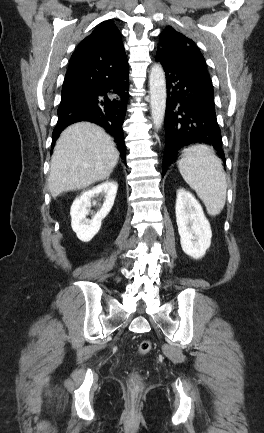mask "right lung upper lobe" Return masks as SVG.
I'll return each mask as SVG.
<instances>
[{
    "instance_id": "right-lung-upper-lobe-1",
    "label": "right lung upper lobe",
    "mask_w": 264,
    "mask_h": 433,
    "mask_svg": "<svg viewBox=\"0 0 264 433\" xmlns=\"http://www.w3.org/2000/svg\"><path fill=\"white\" fill-rule=\"evenodd\" d=\"M127 62L121 33L111 21L102 22L80 42L71 56L69 68L95 64L120 65Z\"/></svg>"
}]
</instances>
